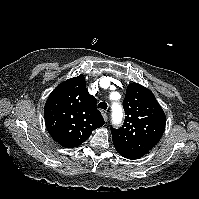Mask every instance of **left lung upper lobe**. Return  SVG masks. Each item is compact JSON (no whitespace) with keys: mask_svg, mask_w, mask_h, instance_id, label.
I'll use <instances>...</instances> for the list:
<instances>
[{"mask_svg":"<svg viewBox=\"0 0 199 199\" xmlns=\"http://www.w3.org/2000/svg\"><path fill=\"white\" fill-rule=\"evenodd\" d=\"M122 127H111L115 149L134 159L144 156L162 137L166 118L154 94L144 86L130 83L123 101Z\"/></svg>","mask_w":199,"mask_h":199,"instance_id":"left-lung-upper-lobe-1","label":"left lung upper lobe"}]
</instances>
